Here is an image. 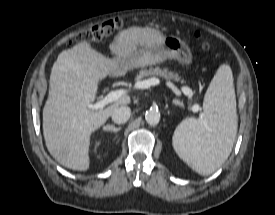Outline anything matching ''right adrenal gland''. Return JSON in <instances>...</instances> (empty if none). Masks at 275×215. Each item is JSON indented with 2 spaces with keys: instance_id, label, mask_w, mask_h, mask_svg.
<instances>
[{
  "instance_id": "obj_1",
  "label": "right adrenal gland",
  "mask_w": 275,
  "mask_h": 215,
  "mask_svg": "<svg viewBox=\"0 0 275 215\" xmlns=\"http://www.w3.org/2000/svg\"><path fill=\"white\" fill-rule=\"evenodd\" d=\"M104 131H109V132H113V133H117L121 130V127H115V125H107L103 127Z\"/></svg>"
}]
</instances>
